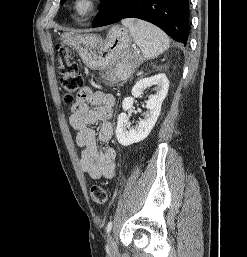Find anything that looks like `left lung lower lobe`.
Returning a JSON list of instances; mask_svg holds the SVG:
<instances>
[{
	"instance_id": "left-lung-lower-lobe-1",
	"label": "left lung lower lobe",
	"mask_w": 247,
	"mask_h": 257,
	"mask_svg": "<svg viewBox=\"0 0 247 257\" xmlns=\"http://www.w3.org/2000/svg\"><path fill=\"white\" fill-rule=\"evenodd\" d=\"M139 18L155 24L185 46L189 33V0H106L92 27Z\"/></svg>"
}]
</instances>
